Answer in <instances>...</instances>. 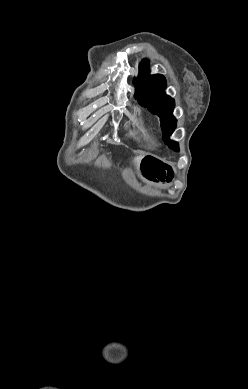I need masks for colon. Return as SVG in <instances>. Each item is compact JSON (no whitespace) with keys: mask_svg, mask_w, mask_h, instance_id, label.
I'll return each mask as SVG.
<instances>
[{"mask_svg":"<svg viewBox=\"0 0 248 389\" xmlns=\"http://www.w3.org/2000/svg\"><path fill=\"white\" fill-rule=\"evenodd\" d=\"M142 166L147 177L155 182L164 183L171 177L168 161H160L159 157H142Z\"/></svg>","mask_w":248,"mask_h":389,"instance_id":"1","label":"colon"}]
</instances>
